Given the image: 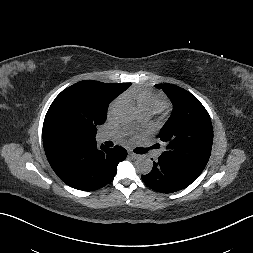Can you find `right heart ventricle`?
I'll use <instances>...</instances> for the list:
<instances>
[{
	"label": "right heart ventricle",
	"mask_w": 253,
	"mask_h": 253,
	"mask_svg": "<svg viewBox=\"0 0 253 253\" xmlns=\"http://www.w3.org/2000/svg\"><path fill=\"white\" fill-rule=\"evenodd\" d=\"M124 98L133 100L141 113L154 114L164 107L161 96L145 89H134L125 94Z\"/></svg>",
	"instance_id": "e07e8e85"
}]
</instances>
